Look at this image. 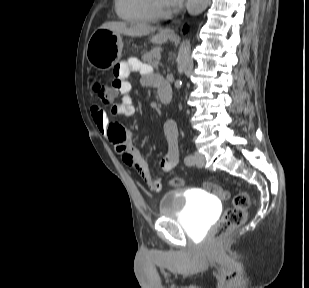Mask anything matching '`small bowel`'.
Segmentation results:
<instances>
[{"mask_svg":"<svg viewBox=\"0 0 309 288\" xmlns=\"http://www.w3.org/2000/svg\"><path fill=\"white\" fill-rule=\"evenodd\" d=\"M134 70H139L142 73L144 84L154 85L158 88L161 81H163L162 78L151 75L146 65L133 59H129L117 66L114 69V83L118 84L117 90L122 94V101L112 106L111 112L113 115L130 117L135 112L130 96L131 86L126 80L128 74ZM91 112L99 133L121 155L125 165L138 172L153 188L160 189L161 179L151 173L149 165L135 146V137L127 133L118 123L110 122L106 112L100 106H93ZM164 133L168 148L161 160L160 166L164 172H168L179 163L178 130L173 119H168L165 122Z\"/></svg>","mask_w":309,"mask_h":288,"instance_id":"1","label":"small bowel"}]
</instances>
